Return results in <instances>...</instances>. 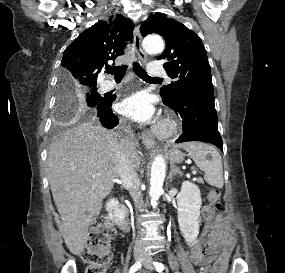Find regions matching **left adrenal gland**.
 Returning a JSON list of instances; mask_svg holds the SVG:
<instances>
[{
    "instance_id": "left-adrenal-gland-1",
    "label": "left adrenal gland",
    "mask_w": 285,
    "mask_h": 273,
    "mask_svg": "<svg viewBox=\"0 0 285 273\" xmlns=\"http://www.w3.org/2000/svg\"><path fill=\"white\" fill-rule=\"evenodd\" d=\"M176 174H181V171H180V169L177 167V166H175V164H171V171H170V173H169V177H170V179L174 176V175H176Z\"/></svg>"
}]
</instances>
